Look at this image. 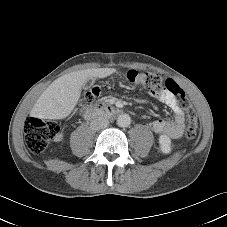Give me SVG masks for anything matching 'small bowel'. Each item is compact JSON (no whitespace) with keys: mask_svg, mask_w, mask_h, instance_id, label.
I'll use <instances>...</instances> for the list:
<instances>
[{"mask_svg":"<svg viewBox=\"0 0 227 227\" xmlns=\"http://www.w3.org/2000/svg\"><path fill=\"white\" fill-rule=\"evenodd\" d=\"M146 96L156 98L161 103L168 106L174 113L172 121L165 119H157L152 122V130L157 134L167 135L173 139H177L182 136L185 130V114L183 110L178 106L174 95L169 93L167 89H161L160 92L157 90L146 89ZM62 136L57 135L56 140H61Z\"/></svg>","mask_w":227,"mask_h":227,"instance_id":"1","label":"small bowel"}]
</instances>
